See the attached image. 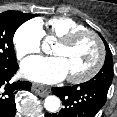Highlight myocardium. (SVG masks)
I'll return each mask as SVG.
<instances>
[{
	"label": "myocardium",
	"mask_w": 117,
	"mask_h": 117,
	"mask_svg": "<svg viewBox=\"0 0 117 117\" xmlns=\"http://www.w3.org/2000/svg\"><path fill=\"white\" fill-rule=\"evenodd\" d=\"M83 36H91L95 40L98 46V57L94 66L86 73L80 76L67 77V80L74 84L84 83L86 81H89L93 77H95L98 74V72L101 70L105 61V47H104L103 41L100 38V36L92 30L83 29V30L71 32L59 38L57 43L63 46H70Z\"/></svg>",
	"instance_id": "1"
}]
</instances>
